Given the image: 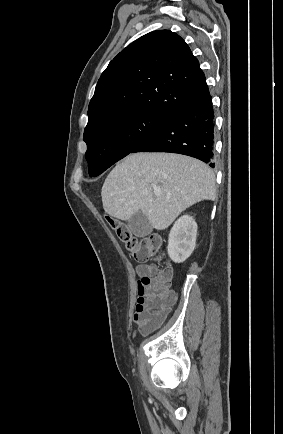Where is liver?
Wrapping results in <instances>:
<instances>
[{
	"label": "liver",
	"mask_w": 283,
	"mask_h": 434,
	"mask_svg": "<svg viewBox=\"0 0 283 434\" xmlns=\"http://www.w3.org/2000/svg\"><path fill=\"white\" fill-rule=\"evenodd\" d=\"M156 189L160 196H155ZM101 196L110 216L129 220L141 211L153 228L164 230L193 204L215 200V175L206 164L189 156L134 153L109 173Z\"/></svg>",
	"instance_id": "obj_1"
}]
</instances>
